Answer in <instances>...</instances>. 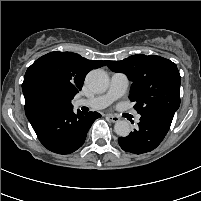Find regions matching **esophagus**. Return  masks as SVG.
Segmentation results:
<instances>
[{
    "mask_svg": "<svg viewBox=\"0 0 201 201\" xmlns=\"http://www.w3.org/2000/svg\"><path fill=\"white\" fill-rule=\"evenodd\" d=\"M106 117L108 120H110L113 123H116L120 120V118L117 115H113V114H107Z\"/></svg>",
    "mask_w": 201,
    "mask_h": 201,
    "instance_id": "esophagus-1",
    "label": "esophagus"
}]
</instances>
